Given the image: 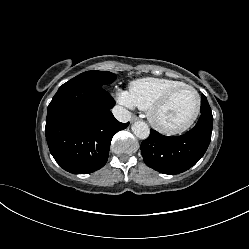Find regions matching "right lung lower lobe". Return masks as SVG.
Returning a JSON list of instances; mask_svg holds the SVG:
<instances>
[{
	"instance_id": "right-lung-lower-lobe-1",
	"label": "right lung lower lobe",
	"mask_w": 249,
	"mask_h": 249,
	"mask_svg": "<svg viewBox=\"0 0 249 249\" xmlns=\"http://www.w3.org/2000/svg\"><path fill=\"white\" fill-rule=\"evenodd\" d=\"M114 99L89 81L71 79L48 106L45 134L56 162L73 174L92 173L105 165L112 137L128 123L110 109Z\"/></svg>"
}]
</instances>
